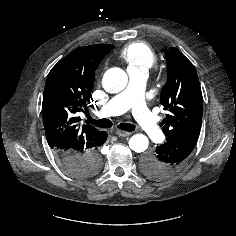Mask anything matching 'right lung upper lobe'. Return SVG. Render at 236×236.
Instances as JSON below:
<instances>
[{"instance_id":"1","label":"right lung upper lobe","mask_w":236,"mask_h":236,"mask_svg":"<svg viewBox=\"0 0 236 236\" xmlns=\"http://www.w3.org/2000/svg\"><path fill=\"white\" fill-rule=\"evenodd\" d=\"M113 49L96 44L75 49L50 71L45 84L42 116L48 145L58 154L86 156L104 132L91 125H79L77 112L86 109L95 79V70Z\"/></svg>"}]
</instances>
